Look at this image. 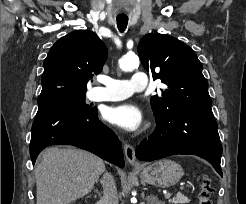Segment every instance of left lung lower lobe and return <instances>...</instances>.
<instances>
[{
    "mask_svg": "<svg viewBox=\"0 0 246 204\" xmlns=\"http://www.w3.org/2000/svg\"><path fill=\"white\" fill-rule=\"evenodd\" d=\"M155 132L136 150L141 161H153L177 154H192L209 161L222 176V145L211 107L176 109L156 121Z\"/></svg>",
    "mask_w": 246,
    "mask_h": 204,
    "instance_id": "0a47b994",
    "label": "left lung lower lobe"
}]
</instances>
